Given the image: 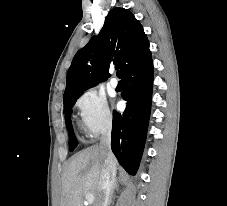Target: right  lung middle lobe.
Segmentation results:
<instances>
[{"label": "right lung middle lobe", "mask_w": 227, "mask_h": 206, "mask_svg": "<svg viewBox=\"0 0 227 206\" xmlns=\"http://www.w3.org/2000/svg\"><path fill=\"white\" fill-rule=\"evenodd\" d=\"M81 95V94H80ZM80 95H75L69 98L64 99V113H65V121L69 133V150L73 151L74 148L77 146V140L75 138L72 124H71V107L75 104L76 100L79 98Z\"/></svg>", "instance_id": "1"}]
</instances>
